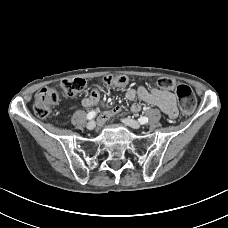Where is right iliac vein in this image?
<instances>
[{
  "mask_svg": "<svg viewBox=\"0 0 228 228\" xmlns=\"http://www.w3.org/2000/svg\"><path fill=\"white\" fill-rule=\"evenodd\" d=\"M95 126H96L95 121H90V122L87 123L86 127H87V129L92 130V129L95 128Z\"/></svg>",
  "mask_w": 228,
  "mask_h": 228,
  "instance_id": "1",
  "label": "right iliac vein"
}]
</instances>
